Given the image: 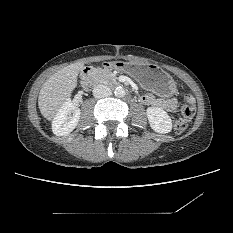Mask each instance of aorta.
I'll return each instance as SVG.
<instances>
[{
  "label": "aorta",
  "instance_id": "obj_1",
  "mask_svg": "<svg viewBox=\"0 0 233 233\" xmlns=\"http://www.w3.org/2000/svg\"><path fill=\"white\" fill-rule=\"evenodd\" d=\"M114 93L117 97H124L126 94L125 89L123 87H120V86L116 87Z\"/></svg>",
  "mask_w": 233,
  "mask_h": 233
}]
</instances>
